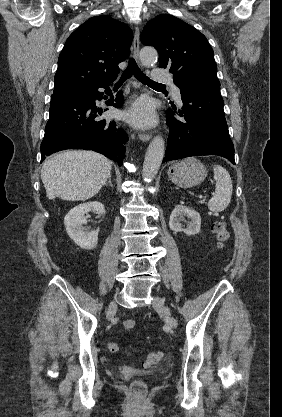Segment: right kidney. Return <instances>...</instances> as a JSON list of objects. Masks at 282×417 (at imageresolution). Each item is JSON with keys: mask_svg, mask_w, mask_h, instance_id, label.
<instances>
[{"mask_svg": "<svg viewBox=\"0 0 282 417\" xmlns=\"http://www.w3.org/2000/svg\"><path fill=\"white\" fill-rule=\"evenodd\" d=\"M89 211H96L98 215H105L106 211L104 209V204L102 202H82V204H77L74 206V209H71L67 215H65L64 225L66 231L81 249H95L98 241L99 229L96 231H88L84 229L83 225H86L87 219H85V213Z\"/></svg>", "mask_w": 282, "mask_h": 417, "instance_id": "right-kidney-1", "label": "right kidney"}]
</instances>
